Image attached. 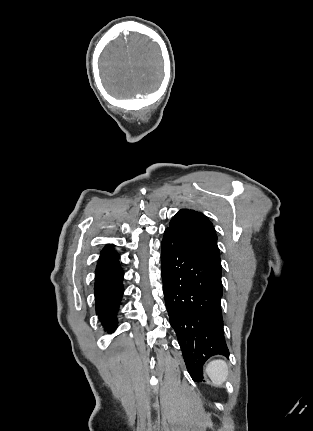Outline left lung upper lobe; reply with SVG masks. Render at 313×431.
<instances>
[{
    "mask_svg": "<svg viewBox=\"0 0 313 431\" xmlns=\"http://www.w3.org/2000/svg\"><path fill=\"white\" fill-rule=\"evenodd\" d=\"M167 231L184 245L210 258L221 266L217 235L213 224L202 213L182 209L170 221Z\"/></svg>",
    "mask_w": 313,
    "mask_h": 431,
    "instance_id": "obj_1",
    "label": "left lung upper lobe"
}]
</instances>
